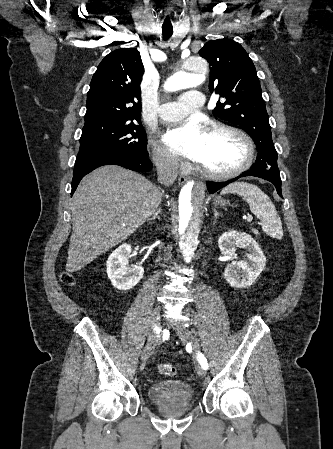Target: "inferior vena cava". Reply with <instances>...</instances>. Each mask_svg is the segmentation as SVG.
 <instances>
[{"mask_svg":"<svg viewBox=\"0 0 333 449\" xmlns=\"http://www.w3.org/2000/svg\"><path fill=\"white\" fill-rule=\"evenodd\" d=\"M157 167L158 181L166 186L174 183L177 178L178 161L168 154H161L155 160Z\"/></svg>","mask_w":333,"mask_h":449,"instance_id":"1","label":"inferior vena cava"}]
</instances>
